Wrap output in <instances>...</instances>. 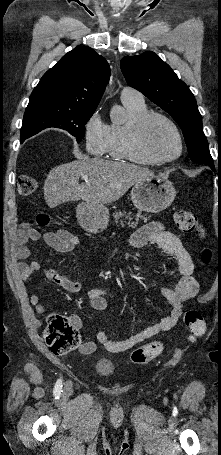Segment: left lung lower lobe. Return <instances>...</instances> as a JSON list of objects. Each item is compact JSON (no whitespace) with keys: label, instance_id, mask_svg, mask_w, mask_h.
Returning a JSON list of instances; mask_svg holds the SVG:
<instances>
[{"label":"left lung lower lobe","instance_id":"obj_1","mask_svg":"<svg viewBox=\"0 0 221 455\" xmlns=\"http://www.w3.org/2000/svg\"><path fill=\"white\" fill-rule=\"evenodd\" d=\"M208 165L211 167V169H212L213 171H215V166H214L213 162L208 163Z\"/></svg>","mask_w":221,"mask_h":455}]
</instances>
